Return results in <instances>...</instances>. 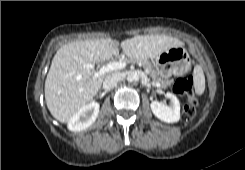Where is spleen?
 I'll return each instance as SVG.
<instances>
[{"instance_id": "spleen-1", "label": "spleen", "mask_w": 245, "mask_h": 170, "mask_svg": "<svg viewBox=\"0 0 245 170\" xmlns=\"http://www.w3.org/2000/svg\"><path fill=\"white\" fill-rule=\"evenodd\" d=\"M193 80L195 93L200 96L205 91V76L200 65H196L193 70Z\"/></svg>"}]
</instances>
